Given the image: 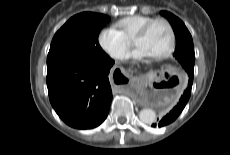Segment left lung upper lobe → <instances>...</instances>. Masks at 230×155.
Wrapping results in <instances>:
<instances>
[{
    "label": "left lung upper lobe",
    "mask_w": 230,
    "mask_h": 155,
    "mask_svg": "<svg viewBox=\"0 0 230 155\" xmlns=\"http://www.w3.org/2000/svg\"><path fill=\"white\" fill-rule=\"evenodd\" d=\"M160 13L169 20L176 35V48L173 55L181 63L183 68L186 62L194 66L195 54L192 36L185 24L170 12L161 11Z\"/></svg>",
    "instance_id": "left-lung-upper-lobe-1"
}]
</instances>
